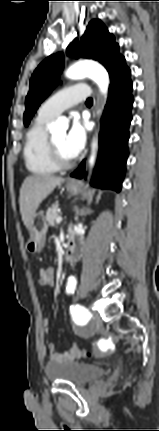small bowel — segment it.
<instances>
[{
    "mask_svg": "<svg viewBox=\"0 0 159 431\" xmlns=\"http://www.w3.org/2000/svg\"><path fill=\"white\" fill-rule=\"evenodd\" d=\"M51 267H42L40 269V280H39V284L42 287H48L49 288V279L48 277H50V272H51ZM55 277V275H54ZM68 287V285H67ZM66 294L69 295L70 293L68 292L67 288H66ZM42 325L43 328L45 330V332L49 331V319L48 318H44L42 321ZM82 350L80 347H78L77 345L73 344L68 350H65L63 352H57L56 351V346L53 343H49L47 345V351L49 352V356H50V360L52 362H68V361H73L77 358H81V353Z\"/></svg>",
    "mask_w": 159,
    "mask_h": 431,
    "instance_id": "1",
    "label": "small bowel"
}]
</instances>
